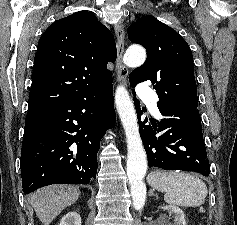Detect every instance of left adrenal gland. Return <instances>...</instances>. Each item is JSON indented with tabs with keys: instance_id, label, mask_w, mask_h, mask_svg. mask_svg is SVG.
Masks as SVG:
<instances>
[{
	"instance_id": "left-adrenal-gland-1",
	"label": "left adrenal gland",
	"mask_w": 237,
	"mask_h": 225,
	"mask_svg": "<svg viewBox=\"0 0 237 225\" xmlns=\"http://www.w3.org/2000/svg\"><path fill=\"white\" fill-rule=\"evenodd\" d=\"M149 195L150 196H155L158 199V195L154 194V192L152 190L149 192Z\"/></svg>"
}]
</instances>
